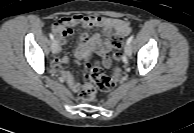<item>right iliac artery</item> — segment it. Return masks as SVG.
Returning a JSON list of instances; mask_svg holds the SVG:
<instances>
[{"label":"right iliac artery","mask_w":194,"mask_h":133,"mask_svg":"<svg viewBox=\"0 0 194 133\" xmlns=\"http://www.w3.org/2000/svg\"><path fill=\"white\" fill-rule=\"evenodd\" d=\"M49 37H50L51 40H54V35L53 34L50 33Z\"/></svg>","instance_id":"1"}]
</instances>
